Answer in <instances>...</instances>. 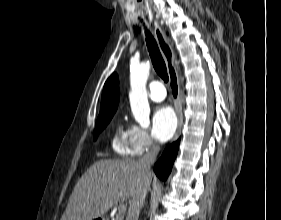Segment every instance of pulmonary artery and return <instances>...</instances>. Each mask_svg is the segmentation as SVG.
Masks as SVG:
<instances>
[{
    "mask_svg": "<svg viewBox=\"0 0 281 220\" xmlns=\"http://www.w3.org/2000/svg\"><path fill=\"white\" fill-rule=\"evenodd\" d=\"M166 90L164 86L158 82L153 81L149 84V97L155 102H161L165 99Z\"/></svg>",
    "mask_w": 281,
    "mask_h": 220,
    "instance_id": "1",
    "label": "pulmonary artery"
}]
</instances>
